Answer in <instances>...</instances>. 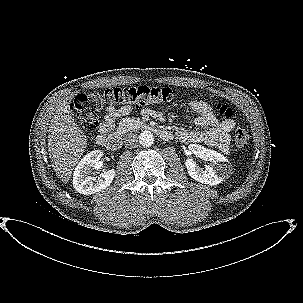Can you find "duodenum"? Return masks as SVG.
Returning <instances> with one entry per match:
<instances>
[{
	"instance_id": "duodenum-1",
	"label": "duodenum",
	"mask_w": 303,
	"mask_h": 303,
	"mask_svg": "<svg viewBox=\"0 0 303 303\" xmlns=\"http://www.w3.org/2000/svg\"><path fill=\"white\" fill-rule=\"evenodd\" d=\"M163 139H169L171 134L165 130H158ZM99 141L110 151H116L121 148V140L115 135L99 137Z\"/></svg>"
}]
</instances>
